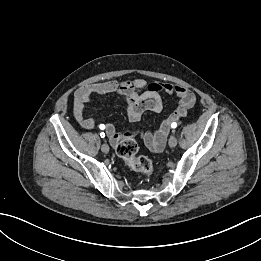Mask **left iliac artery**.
Returning a JSON list of instances; mask_svg holds the SVG:
<instances>
[{
    "label": "left iliac artery",
    "instance_id": "obj_1",
    "mask_svg": "<svg viewBox=\"0 0 261 261\" xmlns=\"http://www.w3.org/2000/svg\"><path fill=\"white\" fill-rule=\"evenodd\" d=\"M171 127L174 129V128H176L177 127V123L176 122H173L172 124H171Z\"/></svg>",
    "mask_w": 261,
    "mask_h": 261
}]
</instances>
